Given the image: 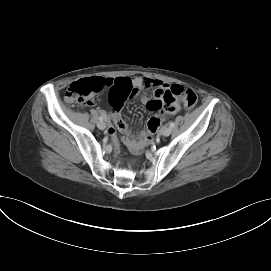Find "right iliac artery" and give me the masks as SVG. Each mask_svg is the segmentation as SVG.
<instances>
[{
	"label": "right iliac artery",
	"mask_w": 271,
	"mask_h": 271,
	"mask_svg": "<svg viewBox=\"0 0 271 271\" xmlns=\"http://www.w3.org/2000/svg\"><path fill=\"white\" fill-rule=\"evenodd\" d=\"M99 120H100V121H103V120H104V118H103L102 116H100V117H99Z\"/></svg>",
	"instance_id": "right-iliac-artery-1"
}]
</instances>
